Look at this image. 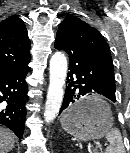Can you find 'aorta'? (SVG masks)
<instances>
[{
    "instance_id": "obj_1",
    "label": "aorta",
    "mask_w": 130,
    "mask_h": 153,
    "mask_svg": "<svg viewBox=\"0 0 130 153\" xmlns=\"http://www.w3.org/2000/svg\"><path fill=\"white\" fill-rule=\"evenodd\" d=\"M50 84L45 103L44 119L52 122L59 113L67 76V59L64 53L56 52L50 60Z\"/></svg>"
}]
</instances>
